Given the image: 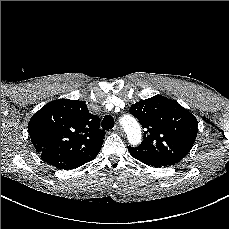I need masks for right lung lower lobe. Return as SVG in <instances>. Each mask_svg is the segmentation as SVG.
<instances>
[{"instance_id":"1","label":"right lung lower lobe","mask_w":229,"mask_h":229,"mask_svg":"<svg viewBox=\"0 0 229 229\" xmlns=\"http://www.w3.org/2000/svg\"><path fill=\"white\" fill-rule=\"evenodd\" d=\"M87 162H88V161H87ZM87 162H84L83 164H85V163H87ZM83 164H81V165H83ZM81 165H80V166H81Z\"/></svg>"}]
</instances>
